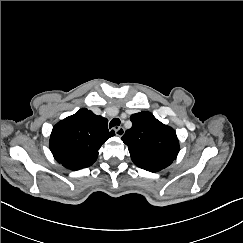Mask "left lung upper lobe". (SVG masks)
I'll return each mask as SVG.
<instances>
[{
	"label": "left lung upper lobe",
	"instance_id": "5c2ea615",
	"mask_svg": "<svg viewBox=\"0 0 243 243\" xmlns=\"http://www.w3.org/2000/svg\"><path fill=\"white\" fill-rule=\"evenodd\" d=\"M132 127L122 137L135 165L142 169L162 170L177 157L179 142L176 132L161 123L150 112L131 115Z\"/></svg>",
	"mask_w": 243,
	"mask_h": 243
}]
</instances>
